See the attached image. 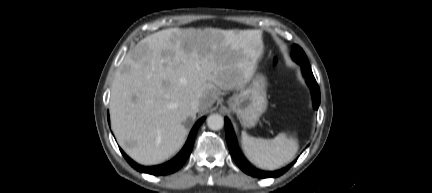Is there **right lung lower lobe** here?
I'll use <instances>...</instances> for the list:
<instances>
[{
	"label": "right lung lower lobe",
	"instance_id": "98d812e1",
	"mask_svg": "<svg viewBox=\"0 0 432 193\" xmlns=\"http://www.w3.org/2000/svg\"><path fill=\"white\" fill-rule=\"evenodd\" d=\"M204 119H205V117L201 118L194 125V127L192 128V130L189 134V138H188L186 144L184 145L182 150L178 153V155L176 157H174L172 160H170L167 163H164L162 165L144 167V166L138 165L133 160H131L121 149H120V151L123 154V156L125 157V159L128 161V163L134 169H136L140 172L149 173V174L156 175V176L173 173V172L177 171L178 169H180L183 166V164L186 162V160L188 159V157L192 151V148H193L195 135L198 131L199 126L204 121ZM108 120H109V118H108Z\"/></svg>",
	"mask_w": 432,
	"mask_h": 193
}]
</instances>
